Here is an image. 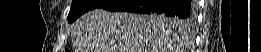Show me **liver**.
<instances>
[{"label": "liver", "instance_id": "liver-1", "mask_svg": "<svg viewBox=\"0 0 261 52\" xmlns=\"http://www.w3.org/2000/svg\"><path fill=\"white\" fill-rule=\"evenodd\" d=\"M163 15L112 13L94 9L74 24L78 52H178L184 26L160 20Z\"/></svg>", "mask_w": 261, "mask_h": 52}]
</instances>
